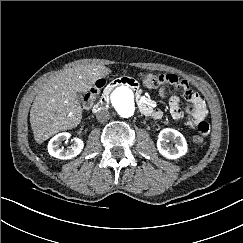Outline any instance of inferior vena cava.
<instances>
[{
	"label": "inferior vena cava",
	"instance_id": "602c4592",
	"mask_svg": "<svg viewBox=\"0 0 243 243\" xmlns=\"http://www.w3.org/2000/svg\"><path fill=\"white\" fill-rule=\"evenodd\" d=\"M109 117H110V113L106 109H102V110L98 111L96 114V119L99 122L107 121L109 119Z\"/></svg>",
	"mask_w": 243,
	"mask_h": 243
}]
</instances>
